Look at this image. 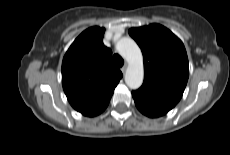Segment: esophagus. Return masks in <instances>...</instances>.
Segmentation results:
<instances>
[{
    "mask_svg": "<svg viewBox=\"0 0 230 155\" xmlns=\"http://www.w3.org/2000/svg\"><path fill=\"white\" fill-rule=\"evenodd\" d=\"M126 69H127V64H125V65L121 68V71H122L123 74L126 72Z\"/></svg>",
    "mask_w": 230,
    "mask_h": 155,
    "instance_id": "obj_1",
    "label": "esophagus"
}]
</instances>
